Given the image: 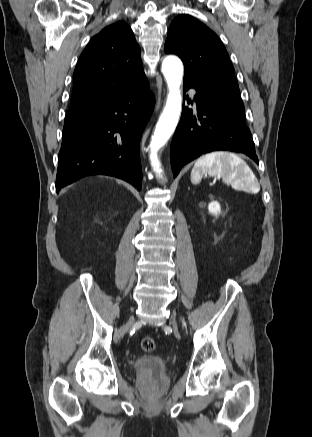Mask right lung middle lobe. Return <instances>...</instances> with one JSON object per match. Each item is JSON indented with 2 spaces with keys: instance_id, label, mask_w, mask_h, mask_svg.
<instances>
[{
  "instance_id": "dd1d6c3e",
  "label": "right lung middle lobe",
  "mask_w": 312,
  "mask_h": 437,
  "mask_svg": "<svg viewBox=\"0 0 312 437\" xmlns=\"http://www.w3.org/2000/svg\"><path fill=\"white\" fill-rule=\"evenodd\" d=\"M80 114L81 113H67L65 117V122L77 118Z\"/></svg>"
}]
</instances>
